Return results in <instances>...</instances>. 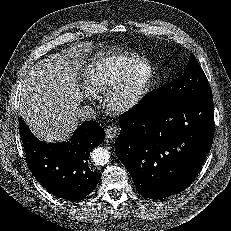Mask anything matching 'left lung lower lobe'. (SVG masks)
I'll return each mask as SVG.
<instances>
[{
    "instance_id": "1",
    "label": "left lung lower lobe",
    "mask_w": 231,
    "mask_h": 231,
    "mask_svg": "<svg viewBox=\"0 0 231 231\" xmlns=\"http://www.w3.org/2000/svg\"><path fill=\"white\" fill-rule=\"evenodd\" d=\"M119 160L140 194L160 199L186 189L198 175L214 136L212 96L151 109L140 101L119 118Z\"/></svg>"
}]
</instances>
